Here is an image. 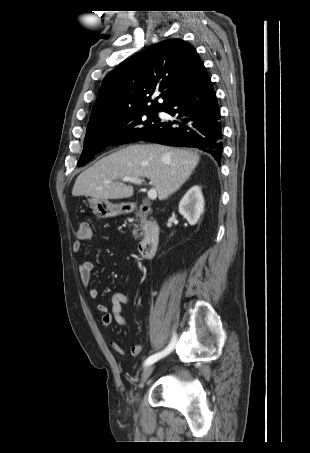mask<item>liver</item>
<instances>
[{
	"mask_svg": "<svg viewBox=\"0 0 310 453\" xmlns=\"http://www.w3.org/2000/svg\"><path fill=\"white\" fill-rule=\"evenodd\" d=\"M199 159V155L190 150L159 144L130 145L84 170L75 181L72 195L105 200L129 198L133 195V187L119 179L132 177L149 179L162 201L179 190Z\"/></svg>",
	"mask_w": 310,
	"mask_h": 453,
	"instance_id": "1",
	"label": "liver"
}]
</instances>
